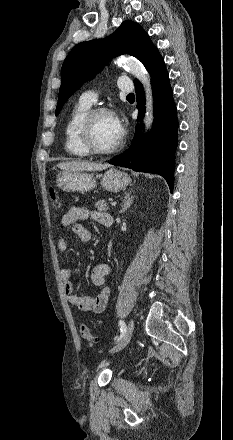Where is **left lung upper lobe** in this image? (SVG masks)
<instances>
[{
	"instance_id": "1",
	"label": "left lung upper lobe",
	"mask_w": 233,
	"mask_h": 440,
	"mask_svg": "<svg viewBox=\"0 0 233 440\" xmlns=\"http://www.w3.org/2000/svg\"><path fill=\"white\" fill-rule=\"evenodd\" d=\"M157 53L159 52L148 34L139 24L132 21H124L113 34L105 39L77 44L70 51L61 68L62 83L56 115L59 114L67 99L84 82L94 78L112 57L130 54L139 59L147 69Z\"/></svg>"
}]
</instances>
